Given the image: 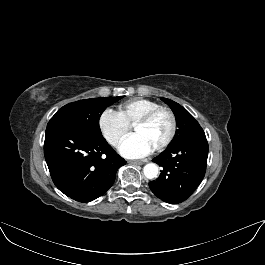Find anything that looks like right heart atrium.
Instances as JSON below:
<instances>
[{
    "label": "right heart atrium",
    "mask_w": 265,
    "mask_h": 265,
    "mask_svg": "<svg viewBox=\"0 0 265 265\" xmlns=\"http://www.w3.org/2000/svg\"><path fill=\"white\" fill-rule=\"evenodd\" d=\"M98 126L103 137L114 147H118L130 127L118 114L112 109H105L98 118Z\"/></svg>",
    "instance_id": "1"
}]
</instances>
